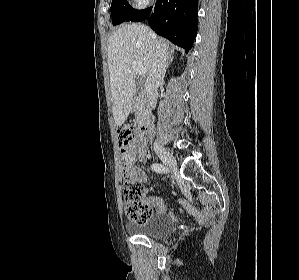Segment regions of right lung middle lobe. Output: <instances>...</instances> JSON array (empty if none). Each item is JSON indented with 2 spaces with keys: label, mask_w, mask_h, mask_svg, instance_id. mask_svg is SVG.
I'll use <instances>...</instances> for the list:
<instances>
[{
  "label": "right lung middle lobe",
  "mask_w": 299,
  "mask_h": 280,
  "mask_svg": "<svg viewBox=\"0 0 299 280\" xmlns=\"http://www.w3.org/2000/svg\"><path fill=\"white\" fill-rule=\"evenodd\" d=\"M134 10L135 9L128 4L127 0H112L111 14L113 25H118L127 21Z\"/></svg>",
  "instance_id": "1"
}]
</instances>
